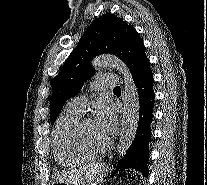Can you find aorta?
<instances>
[{
  "label": "aorta",
  "instance_id": "762f6f07",
  "mask_svg": "<svg viewBox=\"0 0 207 185\" xmlns=\"http://www.w3.org/2000/svg\"><path fill=\"white\" fill-rule=\"evenodd\" d=\"M96 68L116 69L123 77V116L119 143L117 146V156L122 158L132 145L139 122V96L138 90L127 66L113 55H102L96 57L93 62Z\"/></svg>",
  "mask_w": 207,
  "mask_h": 185
}]
</instances>
